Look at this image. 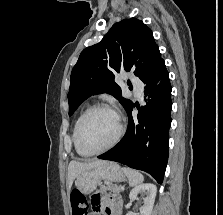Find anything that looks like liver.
<instances>
[{"mask_svg": "<svg viewBox=\"0 0 223 215\" xmlns=\"http://www.w3.org/2000/svg\"><path fill=\"white\" fill-rule=\"evenodd\" d=\"M104 159H92V161H86V163H82V161H70L68 165V191L70 193V189L73 185V181L75 177H77L78 173H82V171H86V169H93V167H97V165H101Z\"/></svg>", "mask_w": 223, "mask_h": 215, "instance_id": "liver-1", "label": "liver"}]
</instances>
